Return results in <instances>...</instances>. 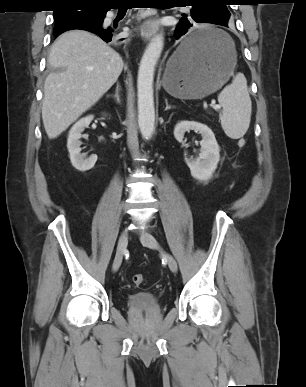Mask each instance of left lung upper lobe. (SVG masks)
Instances as JSON below:
<instances>
[{"instance_id": "obj_1", "label": "left lung upper lobe", "mask_w": 306, "mask_h": 387, "mask_svg": "<svg viewBox=\"0 0 306 387\" xmlns=\"http://www.w3.org/2000/svg\"><path fill=\"white\" fill-rule=\"evenodd\" d=\"M226 0H186L192 6L190 16H203L206 22L213 24H227L230 12L226 7Z\"/></svg>"}]
</instances>
